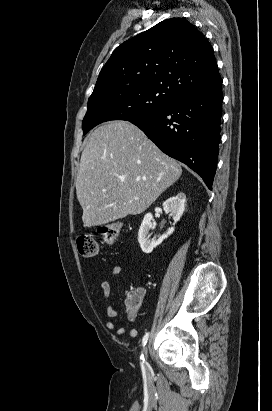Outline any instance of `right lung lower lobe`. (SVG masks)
<instances>
[{"mask_svg":"<svg viewBox=\"0 0 272 411\" xmlns=\"http://www.w3.org/2000/svg\"><path fill=\"white\" fill-rule=\"evenodd\" d=\"M222 80L177 97L162 111L131 121L160 150L198 173L211 190L216 172L222 117Z\"/></svg>","mask_w":272,"mask_h":411,"instance_id":"1","label":"right lung lower lobe"}]
</instances>
